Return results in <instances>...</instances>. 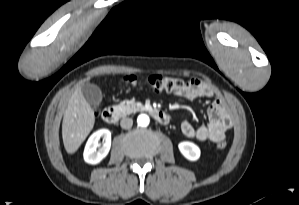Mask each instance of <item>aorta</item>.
<instances>
[{
	"mask_svg": "<svg viewBox=\"0 0 299 205\" xmlns=\"http://www.w3.org/2000/svg\"><path fill=\"white\" fill-rule=\"evenodd\" d=\"M150 119L146 114H140L137 118V123L139 126L146 127L149 125Z\"/></svg>",
	"mask_w": 299,
	"mask_h": 205,
	"instance_id": "aorta-1",
	"label": "aorta"
}]
</instances>
